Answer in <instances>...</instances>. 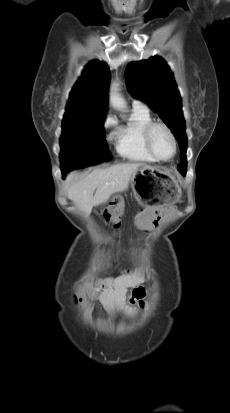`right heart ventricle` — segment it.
Here are the masks:
<instances>
[{
	"label": "right heart ventricle",
	"instance_id": "1",
	"mask_svg": "<svg viewBox=\"0 0 230 413\" xmlns=\"http://www.w3.org/2000/svg\"><path fill=\"white\" fill-rule=\"evenodd\" d=\"M152 121L147 108L133 106L129 121L119 126L115 134V149L120 157L145 164L156 162L143 140L144 128Z\"/></svg>",
	"mask_w": 230,
	"mask_h": 413
}]
</instances>
